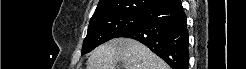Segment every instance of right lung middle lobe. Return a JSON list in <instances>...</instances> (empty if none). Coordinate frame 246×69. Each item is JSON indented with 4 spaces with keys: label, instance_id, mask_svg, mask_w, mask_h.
Segmentation results:
<instances>
[{
    "label": "right lung middle lobe",
    "instance_id": "dd1d6c3e",
    "mask_svg": "<svg viewBox=\"0 0 246 69\" xmlns=\"http://www.w3.org/2000/svg\"><path fill=\"white\" fill-rule=\"evenodd\" d=\"M141 20L142 14H119L91 20L84 39L82 55L110 39L119 37L124 31L138 25Z\"/></svg>",
    "mask_w": 246,
    "mask_h": 69
}]
</instances>
